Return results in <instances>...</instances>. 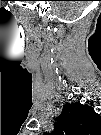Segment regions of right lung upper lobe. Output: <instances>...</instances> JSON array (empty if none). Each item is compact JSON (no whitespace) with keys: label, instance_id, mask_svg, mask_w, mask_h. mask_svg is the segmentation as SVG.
Listing matches in <instances>:
<instances>
[{"label":"right lung upper lobe","instance_id":"obj_1","mask_svg":"<svg viewBox=\"0 0 101 135\" xmlns=\"http://www.w3.org/2000/svg\"><path fill=\"white\" fill-rule=\"evenodd\" d=\"M54 125L55 132L66 135H98L100 116L87 105L72 103L64 105Z\"/></svg>","mask_w":101,"mask_h":135}]
</instances>
